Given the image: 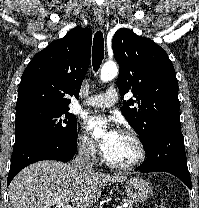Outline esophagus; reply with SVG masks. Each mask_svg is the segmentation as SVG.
I'll use <instances>...</instances> for the list:
<instances>
[{
  "label": "esophagus",
  "mask_w": 199,
  "mask_h": 208,
  "mask_svg": "<svg viewBox=\"0 0 199 208\" xmlns=\"http://www.w3.org/2000/svg\"><path fill=\"white\" fill-rule=\"evenodd\" d=\"M94 13H95L96 21L102 27L105 23V16L103 10L101 8H96Z\"/></svg>",
  "instance_id": "esophagus-1"
}]
</instances>
